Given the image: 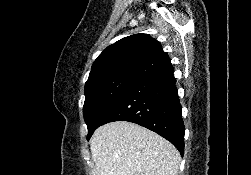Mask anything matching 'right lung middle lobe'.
I'll use <instances>...</instances> for the list:
<instances>
[{
	"label": "right lung middle lobe",
	"mask_w": 251,
	"mask_h": 175,
	"mask_svg": "<svg viewBox=\"0 0 251 175\" xmlns=\"http://www.w3.org/2000/svg\"><path fill=\"white\" fill-rule=\"evenodd\" d=\"M139 80L132 76L120 75L85 85L86 98L83 115L88 127L87 140L90 139L98 127L102 115L112 103Z\"/></svg>",
	"instance_id": "1"
}]
</instances>
